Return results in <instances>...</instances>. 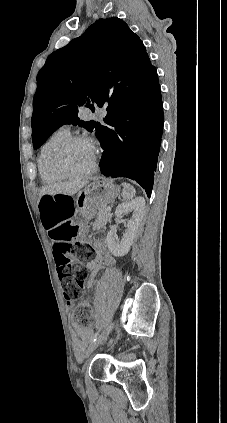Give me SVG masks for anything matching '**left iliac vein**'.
<instances>
[{
    "mask_svg": "<svg viewBox=\"0 0 227 423\" xmlns=\"http://www.w3.org/2000/svg\"><path fill=\"white\" fill-rule=\"evenodd\" d=\"M115 326V322H112L103 332L102 334L97 338V340L95 342H93L87 352L86 355L88 356V353L92 352L96 347H98L104 340L106 337H108L109 333L113 330Z\"/></svg>",
    "mask_w": 227,
    "mask_h": 423,
    "instance_id": "1",
    "label": "left iliac vein"
}]
</instances>
